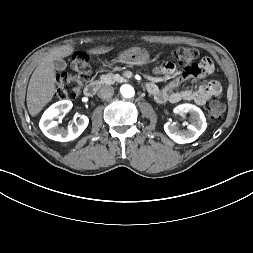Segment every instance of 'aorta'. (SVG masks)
<instances>
[{"label": "aorta", "instance_id": "762f6f07", "mask_svg": "<svg viewBox=\"0 0 253 253\" xmlns=\"http://www.w3.org/2000/svg\"><path fill=\"white\" fill-rule=\"evenodd\" d=\"M120 91L122 96L125 98H131L135 94L134 88L128 84L122 85Z\"/></svg>", "mask_w": 253, "mask_h": 253}]
</instances>
